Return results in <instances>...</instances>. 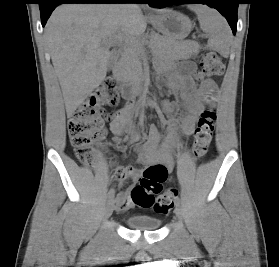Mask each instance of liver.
I'll use <instances>...</instances> for the list:
<instances>
[{"label":"liver","instance_id":"6515ba94","mask_svg":"<svg viewBox=\"0 0 279 267\" xmlns=\"http://www.w3.org/2000/svg\"><path fill=\"white\" fill-rule=\"evenodd\" d=\"M145 30L146 18L138 5L64 4L55 9L45 37L68 117L106 77L111 52L105 41L138 37Z\"/></svg>","mask_w":279,"mask_h":267}]
</instances>
